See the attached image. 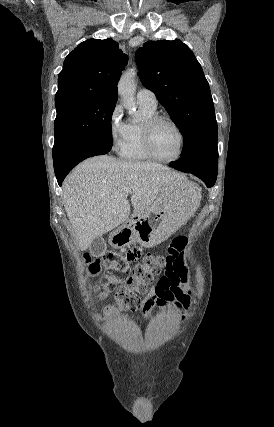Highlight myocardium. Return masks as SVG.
<instances>
[{
  "mask_svg": "<svg viewBox=\"0 0 274 427\" xmlns=\"http://www.w3.org/2000/svg\"><path fill=\"white\" fill-rule=\"evenodd\" d=\"M161 122H165V123H168L171 126H173L175 128V130L177 131L179 138H180L179 153L176 157L171 158V159H166V158L161 157L160 155L157 154V152L153 148V144H152L153 131H154L155 127ZM141 137H142L143 148H144L146 154L152 160L163 162V163H173V162L180 160L184 155L185 144H186L184 132L182 131L181 127L170 117L163 116V115H155V116L147 119L142 126Z\"/></svg>",
  "mask_w": 274,
  "mask_h": 427,
  "instance_id": "myocardium-1",
  "label": "myocardium"
}]
</instances>
